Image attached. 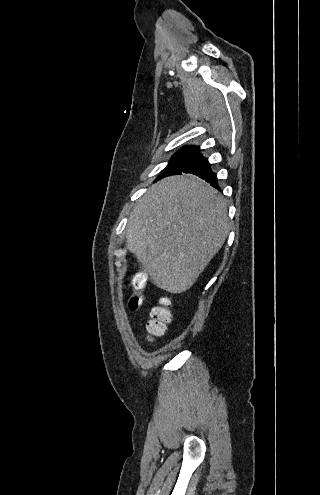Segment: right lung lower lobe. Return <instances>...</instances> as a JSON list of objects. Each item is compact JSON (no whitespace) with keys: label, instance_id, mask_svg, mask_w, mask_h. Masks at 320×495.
I'll return each instance as SVG.
<instances>
[{"label":"right lung lower lobe","instance_id":"1","mask_svg":"<svg viewBox=\"0 0 320 495\" xmlns=\"http://www.w3.org/2000/svg\"><path fill=\"white\" fill-rule=\"evenodd\" d=\"M182 172L195 174L208 183H211L213 187L220 189L216 174L212 172L208 160L205 159V157H203L199 152L194 154L186 165L173 175L182 174Z\"/></svg>","mask_w":320,"mask_h":495}]
</instances>
